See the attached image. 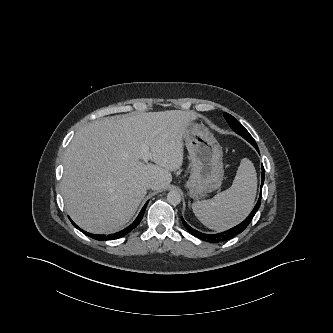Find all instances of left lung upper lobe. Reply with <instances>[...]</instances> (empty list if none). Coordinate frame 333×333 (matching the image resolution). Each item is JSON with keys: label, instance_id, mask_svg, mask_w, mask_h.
Listing matches in <instances>:
<instances>
[{"label": "left lung upper lobe", "instance_id": "5c2ea615", "mask_svg": "<svg viewBox=\"0 0 333 333\" xmlns=\"http://www.w3.org/2000/svg\"><path fill=\"white\" fill-rule=\"evenodd\" d=\"M224 117L230 127L232 128L233 131H235L237 134L242 136L244 139H246L249 143L252 145L256 144L255 140L253 137L249 134V132L230 114L224 112Z\"/></svg>", "mask_w": 333, "mask_h": 333}]
</instances>
